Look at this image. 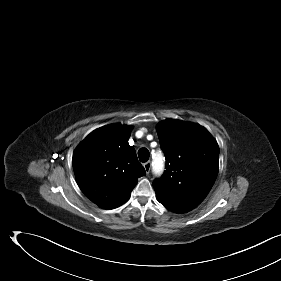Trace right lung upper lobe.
<instances>
[{
  "mask_svg": "<svg viewBox=\"0 0 281 281\" xmlns=\"http://www.w3.org/2000/svg\"><path fill=\"white\" fill-rule=\"evenodd\" d=\"M131 127L110 124L91 132L73 154V169L87 198L114 209L129 198L137 179L146 174L128 140Z\"/></svg>",
  "mask_w": 281,
  "mask_h": 281,
  "instance_id": "cb5924a9",
  "label": "right lung upper lobe"
}]
</instances>
